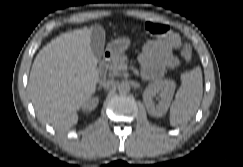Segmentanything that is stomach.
Here are the masks:
<instances>
[{
	"label": "stomach",
	"mask_w": 243,
	"mask_h": 167,
	"mask_svg": "<svg viewBox=\"0 0 243 167\" xmlns=\"http://www.w3.org/2000/svg\"><path fill=\"white\" fill-rule=\"evenodd\" d=\"M130 43L128 37L118 38L108 43L106 50L111 57H116L123 54L129 48Z\"/></svg>",
	"instance_id": "1"
}]
</instances>
